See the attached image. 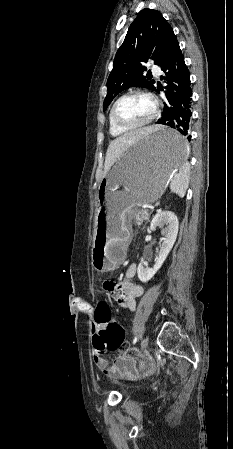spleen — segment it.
I'll list each match as a JSON object with an SVG mask.
<instances>
[{
    "label": "spleen",
    "instance_id": "3e777b00",
    "mask_svg": "<svg viewBox=\"0 0 233 449\" xmlns=\"http://www.w3.org/2000/svg\"><path fill=\"white\" fill-rule=\"evenodd\" d=\"M190 165L185 162L179 168V173L172 179L170 189L180 197H184L189 185Z\"/></svg>",
    "mask_w": 233,
    "mask_h": 449
}]
</instances>
